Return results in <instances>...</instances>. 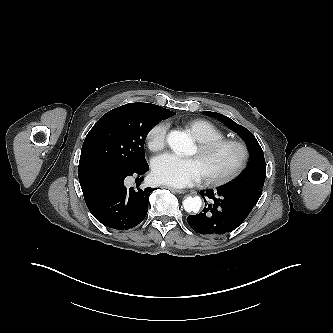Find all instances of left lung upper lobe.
<instances>
[{
  "label": "left lung upper lobe",
  "instance_id": "1",
  "mask_svg": "<svg viewBox=\"0 0 333 333\" xmlns=\"http://www.w3.org/2000/svg\"><path fill=\"white\" fill-rule=\"evenodd\" d=\"M205 114L217 118L220 122L238 133L246 142L250 154L248 169L236 180L223 186V188L231 192L246 193L259 199L266 177V162L263 150L255 136L245 127L220 113L205 111Z\"/></svg>",
  "mask_w": 333,
  "mask_h": 333
}]
</instances>
